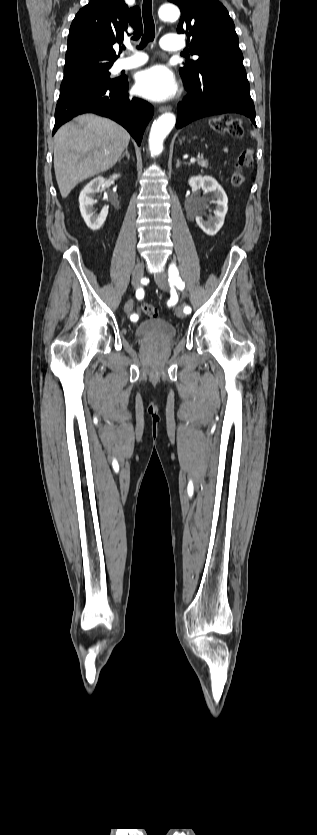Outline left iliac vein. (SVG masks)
<instances>
[{
  "label": "left iliac vein",
  "mask_w": 317,
  "mask_h": 835,
  "mask_svg": "<svg viewBox=\"0 0 317 835\" xmlns=\"http://www.w3.org/2000/svg\"><path fill=\"white\" fill-rule=\"evenodd\" d=\"M155 282L160 289H162L164 291H167L169 289V283H168V278H167L166 274L161 273V274L157 275L155 277ZM175 313H176L177 317H179V318H184L185 317V312H184V310L182 309L181 306L176 307Z\"/></svg>",
  "instance_id": "4c4485c4"
}]
</instances>
